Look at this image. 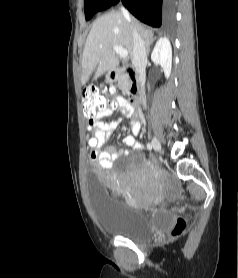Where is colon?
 <instances>
[{
  "instance_id": "obj_1",
  "label": "colon",
  "mask_w": 238,
  "mask_h": 278,
  "mask_svg": "<svg viewBox=\"0 0 238 278\" xmlns=\"http://www.w3.org/2000/svg\"><path fill=\"white\" fill-rule=\"evenodd\" d=\"M82 103L84 117L89 123V127L86 128V139L89 141H86L85 145L90 146L91 149L89 151L92 153L95 146L98 145V142L94 141V122L101 112L106 109H114L116 104L113 98L108 97L97 88L87 89L83 93ZM186 227L185 219L178 217L171 227L170 235L179 237L185 232Z\"/></svg>"
}]
</instances>
